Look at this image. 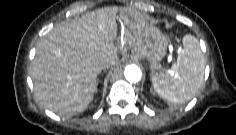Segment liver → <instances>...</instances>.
<instances>
[{
  "label": "liver",
  "instance_id": "1",
  "mask_svg": "<svg viewBox=\"0 0 236 135\" xmlns=\"http://www.w3.org/2000/svg\"><path fill=\"white\" fill-rule=\"evenodd\" d=\"M129 8L105 7L72 22L55 26L37 44L31 77L38 102L61 116L84 111L93 100L97 76L119 63L118 12ZM124 23L121 40L136 50L148 27L137 12Z\"/></svg>",
  "mask_w": 236,
  "mask_h": 135
}]
</instances>
